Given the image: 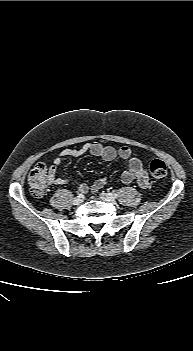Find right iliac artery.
<instances>
[{
	"label": "right iliac artery",
	"mask_w": 193,
	"mask_h": 351,
	"mask_svg": "<svg viewBox=\"0 0 193 351\" xmlns=\"http://www.w3.org/2000/svg\"><path fill=\"white\" fill-rule=\"evenodd\" d=\"M77 197H83V194H82V193H79Z\"/></svg>",
	"instance_id": "82829eb1"
}]
</instances>
